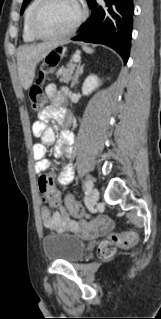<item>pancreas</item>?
<instances>
[{"instance_id": "cf45deb5", "label": "pancreas", "mask_w": 161, "mask_h": 319, "mask_svg": "<svg viewBox=\"0 0 161 319\" xmlns=\"http://www.w3.org/2000/svg\"><path fill=\"white\" fill-rule=\"evenodd\" d=\"M76 64L74 63V59H71L66 67H62L57 72V77H60L61 83H68L72 78V74L76 68Z\"/></svg>"}]
</instances>
